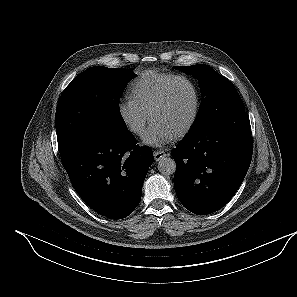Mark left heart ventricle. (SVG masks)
I'll list each match as a JSON object with an SVG mask.
<instances>
[{
	"label": "left heart ventricle",
	"mask_w": 297,
	"mask_h": 297,
	"mask_svg": "<svg viewBox=\"0 0 297 297\" xmlns=\"http://www.w3.org/2000/svg\"><path fill=\"white\" fill-rule=\"evenodd\" d=\"M194 108V94L190 85L184 81L175 83L166 103L157 110L152 122L159 123L174 135L189 121Z\"/></svg>",
	"instance_id": "left-heart-ventricle-1"
}]
</instances>
